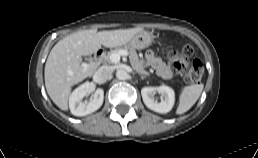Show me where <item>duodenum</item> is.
Listing matches in <instances>:
<instances>
[{
    "label": "duodenum",
    "instance_id": "410a0bca",
    "mask_svg": "<svg viewBox=\"0 0 258 158\" xmlns=\"http://www.w3.org/2000/svg\"><path fill=\"white\" fill-rule=\"evenodd\" d=\"M104 50L103 48H98L94 53V59L96 62L100 61V58L103 56Z\"/></svg>",
    "mask_w": 258,
    "mask_h": 158
}]
</instances>
